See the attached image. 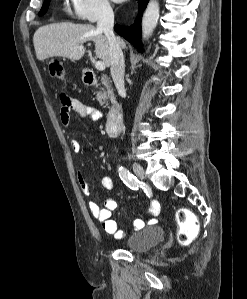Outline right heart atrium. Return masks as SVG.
Returning <instances> with one entry per match:
<instances>
[{"mask_svg":"<svg viewBox=\"0 0 247 299\" xmlns=\"http://www.w3.org/2000/svg\"><path fill=\"white\" fill-rule=\"evenodd\" d=\"M71 15L78 20L96 22L112 16L110 0H70Z\"/></svg>","mask_w":247,"mask_h":299,"instance_id":"1","label":"right heart atrium"}]
</instances>
